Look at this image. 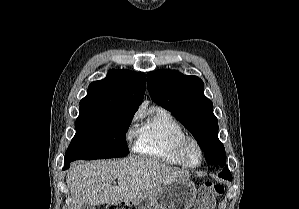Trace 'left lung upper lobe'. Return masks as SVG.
I'll return each instance as SVG.
<instances>
[{"label":"left lung upper lobe","instance_id":"left-lung-upper-lobe-1","mask_svg":"<svg viewBox=\"0 0 299 209\" xmlns=\"http://www.w3.org/2000/svg\"><path fill=\"white\" fill-rule=\"evenodd\" d=\"M147 87L151 99L170 111L193 134L207 163L223 167L225 149L218 139L213 104L203 93V81L176 70H159L147 74Z\"/></svg>","mask_w":299,"mask_h":209}]
</instances>
